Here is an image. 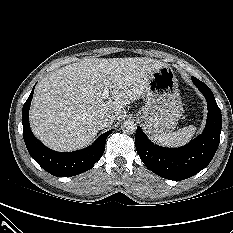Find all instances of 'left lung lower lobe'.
<instances>
[{"label":"left lung lower lobe","mask_w":233,"mask_h":233,"mask_svg":"<svg viewBox=\"0 0 233 233\" xmlns=\"http://www.w3.org/2000/svg\"><path fill=\"white\" fill-rule=\"evenodd\" d=\"M193 83L207 101L206 127L201 135L181 148L154 145L138 126L135 144L144 164L157 175L170 180H184L204 169L215 155L222 128V115L210 88L192 77Z\"/></svg>","instance_id":"0a47b994"}]
</instances>
